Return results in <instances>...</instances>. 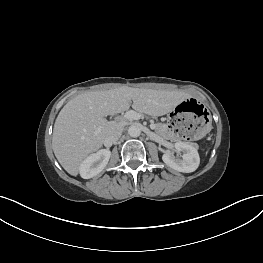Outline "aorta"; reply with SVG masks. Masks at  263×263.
Masks as SVG:
<instances>
[{"instance_id": "1", "label": "aorta", "mask_w": 263, "mask_h": 263, "mask_svg": "<svg viewBox=\"0 0 263 263\" xmlns=\"http://www.w3.org/2000/svg\"><path fill=\"white\" fill-rule=\"evenodd\" d=\"M128 134L133 137L136 138L138 136H140L141 134V127L138 124H133L128 128Z\"/></svg>"}]
</instances>
